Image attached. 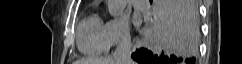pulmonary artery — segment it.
Here are the masks:
<instances>
[{
	"label": "pulmonary artery",
	"instance_id": "obj_1",
	"mask_svg": "<svg viewBox=\"0 0 242 64\" xmlns=\"http://www.w3.org/2000/svg\"><path fill=\"white\" fill-rule=\"evenodd\" d=\"M132 3L136 10L146 11L148 9V2L146 0H133Z\"/></svg>",
	"mask_w": 242,
	"mask_h": 64
}]
</instances>
